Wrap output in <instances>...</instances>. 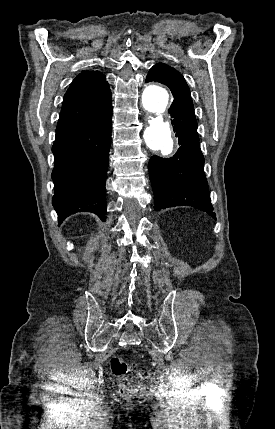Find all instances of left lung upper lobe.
Here are the masks:
<instances>
[{
  "instance_id": "1",
  "label": "left lung upper lobe",
  "mask_w": 275,
  "mask_h": 429,
  "mask_svg": "<svg viewBox=\"0 0 275 429\" xmlns=\"http://www.w3.org/2000/svg\"><path fill=\"white\" fill-rule=\"evenodd\" d=\"M153 67H164V68H169V69H173V70H175L174 68H172V67H170V66H168V65H166V64H164V63L156 64V65H155V66H153Z\"/></svg>"
}]
</instances>
